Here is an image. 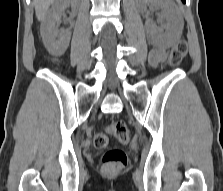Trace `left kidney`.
Here are the masks:
<instances>
[{
	"mask_svg": "<svg viewBox=\"0 0 223 191\" xmlns=\"http://www.w3.org/2000/svg\"><path fill=\"white\" fill-rule=\"evenodd\" d=\"M140 11L147 16L146 30L150 39L158 45L172 46L179 38L183 29V18L180 10L171 0H137ZM160 9V26L151 19L147 10Z\"/></svg>",
	"mask_w": 223,
	"mask_h": 191,
	"instance_id": "obj_1",
	"label": "left kidney"
}]
</instances>
